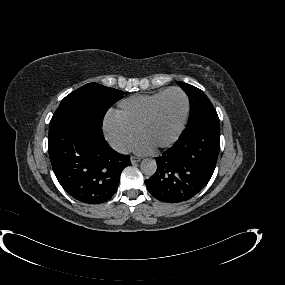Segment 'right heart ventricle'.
Instances as JSON below:
<instances>
[{"instance_id": "obj_1", "label": "right heart ventricle", "mask_w": 285, "mask_h": 285, "mask_svg": "<svg viewBox=\"0 0 285 285\" xmlns=\"http://www.w3.org/2000/svg\"><path fill=\"white\" fill-rule=\"evenodd\" d=\"M165 90L166 89L152 94L133 95L122 100L118 105L115 116L128 129L137 132L152 105Z\"/></svg>"}]
</instances>
